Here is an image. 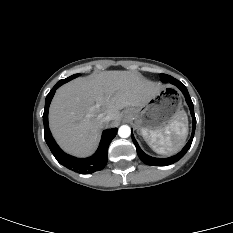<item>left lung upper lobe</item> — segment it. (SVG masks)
I'll use <instances>...</instances> for the list:
<instances>
[{
  "label": "left lung upper lobe",
  "instance_id": "5c2ea615",
  "mask_svg": "<svg viewBox=\"0 0 233 233\" xmlns=\"http://www.w3.org/2000/svg\"><path fill=\"white\" fill-rule=\"evenodd\" d=\"M160 78L162 82H168L172 78V76L166 74H160Z\"/></svg>",
  "mask_w": 233,
  "mask_h": 233
}]
</instances>
